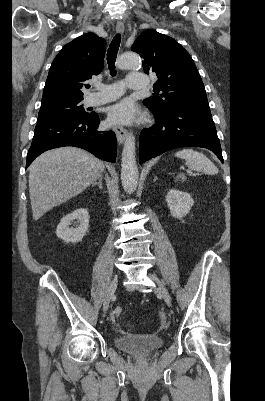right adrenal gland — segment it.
Returning <instances> with one entry per match:
<instances>
[{
    "instance_id": "1",
    "label": "right adrenal gland",
    "mask_w": 265,
    "mask_h": 401,
    "mask_svg": "<svg viewBox=\"0 0 265 401\" xmlns=\"http://www.w3.org/2000/svg\"><path fill=\"white\" fill-rule=\"evenodd\" d=\"M102 180L103 176H99L98 182H92V186H96V184H98L99 188H103Z\"/></svg>"
}]
</instances>
